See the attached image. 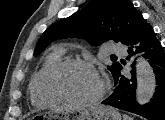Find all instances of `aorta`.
I'll list each match as a JSON object with an SVG mask.
<instances>
[{
  "label": "aorta",
  "mask_w": 165,
  "mask_h": 120,
  "mask_svg": "<svg viewBox=\"0 0 165 120\" xmlns=\"http://www.w3.org/2000/svg\"><path fill=\"white\" fill-rule=\"evenodd\" d=\"M136 77V100L139 104L143 105L151 100L155 92L156 80L152 67L142 57L137 60Z\"/></svg>",
  "instance_id": "aorta-1"
}]
</instances>
